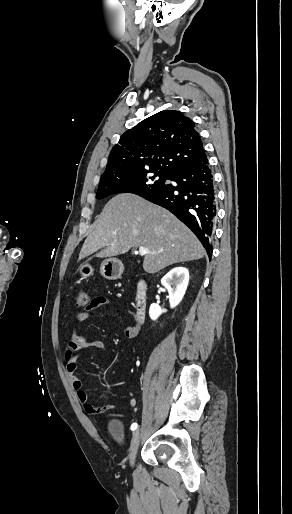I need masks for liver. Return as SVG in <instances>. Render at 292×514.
Returning a JSON list of instances; mask_svg holds the SVG:
<instances>
[{
	"label": "liver",
	"mask_w": 292,
	"mask_h": 514,
	"mask_svg": "<svg viewBox=\"0 0 292 514\" xmlns=\"http://www.w3.org/2000/svg\"><path fill=\"white\" fill-rule=\"evenodd\" d=\"M147 248L143 268L155 274L177 262L200 260L205 250L193 232L168 210L135 194H119L103 208L95 230L87 236L79 260L101 250L97 258L125 254L130 248ZM104 248V250H102Z\"/></svg>",
	"instance_id": "liver-1"
}]
</instances>
